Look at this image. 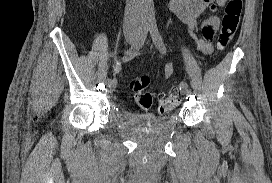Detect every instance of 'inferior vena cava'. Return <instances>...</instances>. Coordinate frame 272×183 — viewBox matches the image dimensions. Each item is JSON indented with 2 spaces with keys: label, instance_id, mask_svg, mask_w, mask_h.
<instances>
[{
  "label": "inferior vena cava",
  "instance_id": "602c4592",
  "mask_svg": "<svg viewBox=\"0 0 272 183\" xmlns=\"http://www.w3.org/2000/svg\"><path fill=\"white\" fill-rule=\"evenodd\" d=\"M142 17V0H126L123 28L138 30Z\"/></svg>",
  "mask_w": 272,
  "mask_h": 183
}]
</instances>
